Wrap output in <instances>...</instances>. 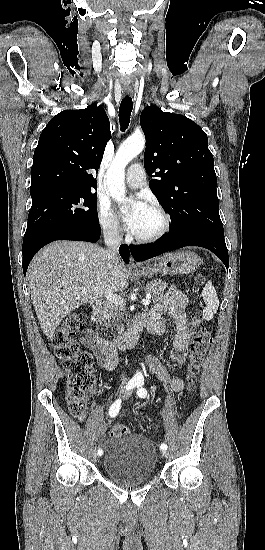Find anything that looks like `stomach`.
<instances>
[{
    "mask_svg": "<svg viewBox=\"0 0 265 550\" xmlns=\"http://www.w3.org/2000/svg\"><path fill=\"white\" fill-rule=\"evenodd\" d=\"M200 264L198 255L191 251L169 253L162 256L154 265L144 267L136 274L139 276L161 275H183L195 271Z\"/></svg>",
    "mask_w": 265,
    "mask_h": 550,
    "instance_id": "1",
    "label": "stomach"
}]
</instances>
